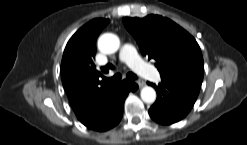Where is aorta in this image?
I'll list each match as a JSON object with an SVG mask.
<instances>
[{
  "mask_svg": "<svg viewBox=\"0 0 247 145\" xmlns=\"http://www.w3.org/2000/svg\"><path fill=\"white\" fill-rule=\"evenodd\" d=\"M119 47L120 40L115 34L106 33L98 39V48L105 54L115 53ZM140 95L145 103H153L156 100V91L150 86L143 87Z\"/></svg>",
  "mask_w": 247,
  "mask_h": 145,
  "instance_id": "obj_1",
  "label": "aorta"
}]
</instances>
